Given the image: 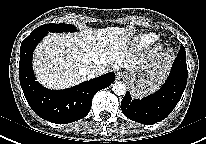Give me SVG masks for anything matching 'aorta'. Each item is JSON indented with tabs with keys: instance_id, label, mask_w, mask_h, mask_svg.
<instances>
[{
	"instance_id": "762f6f07",
	"label": "aorta",
	"mask_w": 206,
	"mask_h": 144,
	"mask_svg": "<svg viewBox=\"0 0 206 144\" xmlns=\"http://www.w3.org/2000/svg\"><path fill=\"white\" fill-rule=\"evenodd\" d=\"M112 90L118 96L125 95L127 91L126 85L121 81H116L112 86Z\"/></svg>"
}]
</instances>
